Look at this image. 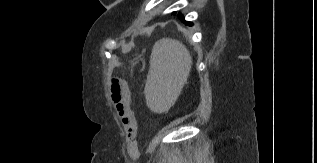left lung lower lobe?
I'll list each match as a JSON object with an SVG mask.
<instances>
[{
  "instance_id": "1",
  "label": "left lung lower lobe",
  "mask_w": 317,
  "mask_h": 163,
  "mask_svg": "<svg viewBox=\"0 0 317 163\" xmlns=\"http://www.w3.org/2000/svg\"><path fill=\"white\" fill-rule=\"evenodd\" d=\"M179 18L186 24V25H191V22L185 21L182 15H179Z\"/></svg>"
}]
</instances>
